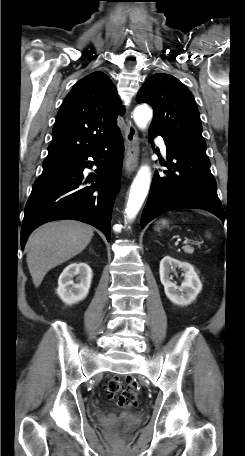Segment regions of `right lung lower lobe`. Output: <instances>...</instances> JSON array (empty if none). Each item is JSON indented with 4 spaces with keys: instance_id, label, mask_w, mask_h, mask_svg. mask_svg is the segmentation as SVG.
<instances>
[{
    "instance_id": "1",
    "label": "right lung lower lobe",
    "mask_w": 245,
    "mask_h": 456,
    "mask_svg": "<svg viewBox=\"0 0 245 456\" xmlns=\"http://www.w3.org/2000/svg\"><path fill=\"white\" fill-rule=\"evenodd\" d=\"M124 144L120 131L78 158L43 170L26 203L21 247L39 225L57 219H74L93 225L110 240L114 198L120 186ZM92 157L96 162L88 160ZM98 169L86 179L83 170ZM95 182L86 185L88 182Z\"/></svg>"
}]
</instances>
